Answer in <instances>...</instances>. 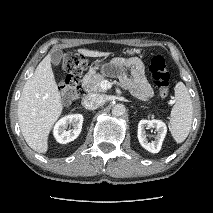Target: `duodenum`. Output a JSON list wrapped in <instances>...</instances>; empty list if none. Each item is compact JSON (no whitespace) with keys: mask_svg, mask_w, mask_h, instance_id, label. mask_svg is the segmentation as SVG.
Returning <instances> with one entry per match:
<instances>
[{"mask_svg":"<svg viewBox=\"0 0 213 213\" xmlns=\"http://www.w3.org/2000/svg\"><path fill=\"white\" fill-rule=\"evenodd\" d=\"M82 88H83L84 93H85V88H86V82L85 81L82 82Z\"/></svg>","mask_w":213,"mask_h":213,"instance_id":"obj_1","label":"duodenum"}]
</instances>
